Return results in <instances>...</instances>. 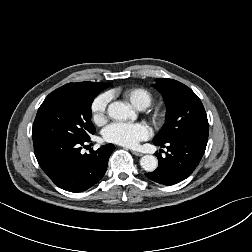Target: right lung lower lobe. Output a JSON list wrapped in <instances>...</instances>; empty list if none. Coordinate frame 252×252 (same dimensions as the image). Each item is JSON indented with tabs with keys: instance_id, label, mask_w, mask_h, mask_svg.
Wrapping results in <instances>:
<instances>
[{
	"instance_id": "right-lung-lower-lobe-1",
	"label": "right lung lower lobe",
	"mask_w": 252,
	"mask_h": 252,
	"mask_svg": "<svg viewBox=\"0 0 252 252\" xmlns=\"http://www.w3.org/2000/svg\"><path fill=\"white\" fill-rule=\"evenodd\" d=\"M85 142H89V138L85 141H33L40 167L58 187L66 191L82 192L96 184L104 176L108 159L115 149L113 144H106L89 154H81Z\"/></svg>"
}]
</instances>
